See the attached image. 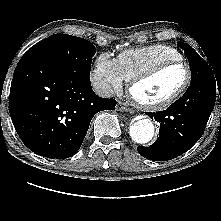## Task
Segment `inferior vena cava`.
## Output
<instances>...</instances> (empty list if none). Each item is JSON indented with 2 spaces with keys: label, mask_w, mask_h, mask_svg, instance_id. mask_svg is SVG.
<instances>
[{
  "label": "inferior vena cava",
  "mask_w": 221,
  "mask_h": 221,
  "mask_svg": "<svg viewBox=\"0 0 221 221\" xmlns=\"http://www.w3.org/2000/svg\"><path fill=\"white\" fill-rule=\"evenodd\" d=\"M94 89L100 97L109 98L113 95V89L108 83H95Z\"/></svg>",
  "instance_id": "inferior-vena-cava-1"
}]
</instances>
